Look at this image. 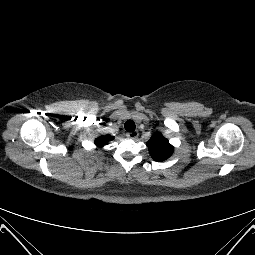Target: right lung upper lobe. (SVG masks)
I'll list each match as a JSON object with an SVG mask.
<instances>
[{"mask_svg": "<svg viewBox=\"0 0 255 255\" xmlns=\"http://www.w3.org/2000/svg\"><path fill=\"white\" fill-rule=\"evenodd\" d=\"M112 139L113 137L111 136H101L96 139L95 144L97 147H102L106 145L109 142V140H112Z\"/></svg>", "mask_w": 255, "mask_h": 255, "instance_id": "1", "label": "right lung upper lobe"}]
</instances>
